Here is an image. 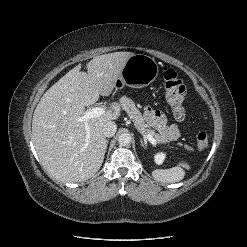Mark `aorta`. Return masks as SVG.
Returning <instances> with one entry per match:
<instances>
[{
	"instance_id": "obj_1",
	"label": "aorta",
	"mask_w": 247,
	"mask_h": 247,
	"mask_svg": "<svg viewBox=\"0 0 247 247\" xmlns=\"http://www.w3.org/2000/svg\"><path fill=\"white\" fill-rule=\"evenodd\" d=\"M132 138L131 135L128 133H122L118 137V143L121 146H128L131 144Z\"/></svg>"
}]
</instances>
